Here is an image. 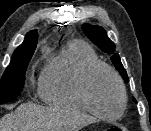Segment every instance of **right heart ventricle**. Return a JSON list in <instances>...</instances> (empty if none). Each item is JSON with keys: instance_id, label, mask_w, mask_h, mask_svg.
<instances>
[{"instance_id": "right-heart-ventricle-1", "label": "right heart ventricle", "mask_w": 151, "mask_h": 131, "mask_svg": "<svg viewBox=\"0 0 151 131\" xmlns=\"http://www.w3.org/2000/svg\"><path fill=\"white\" fill-rule=\"evenodd\" d=\"M99 61L95 50L81 40L70 41L47 62L40 79V96L50 105L87 110L77 86L85 69Z\"/></svg>"}]
</instances>
